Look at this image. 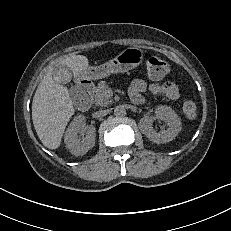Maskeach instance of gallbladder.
Returning a JSON list of instances; mask_svg holds the SVG:
<instances>
[{"mask_svg":"<svg viewBox=\"0 0 231 231\" xmlns=\"http://www.w3.org/2000/svg\"><path fill=\"white\" fill-rule=\"evenodd\" d=\"M54 80L59 84L69 83L72 80V75L70 71L65 68H60L54 72Z\"/></svg>","mask_w":231,"mask_h":231,"instance_id":"gallbladder-1","label":"gallbladder"}]
</instances>
